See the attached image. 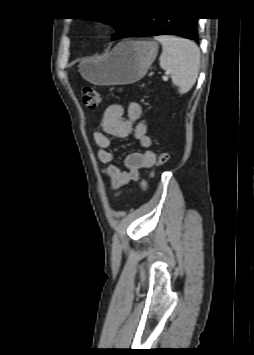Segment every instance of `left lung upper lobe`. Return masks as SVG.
<instances>
[{
    "label": "left lung upper lobe",
    "mask_w": 254,
    "mask_h": 355,
    "mask_svg": "<svg viewBox=\"0 0 254 355\" xmlns=\"http://www.w3.org/2000/svg\"><path fill=\"white\" fill-rule=\"evenodd\" d=\"M92 20H100L103 22L110 23L116 29V34L112 40L121 38L125 33H127L136 21V18H97Z\"/></svg>",
    "instance_id": "1"
}]
</instances>
